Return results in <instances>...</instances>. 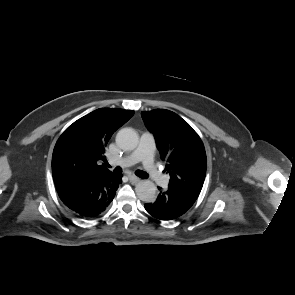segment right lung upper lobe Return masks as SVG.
<instances>
[{"label":"right lung upper lobe","instance_id":"obj_1","mask_svg":"<svg viewBox=\"0 0 295 295\" xmlns=\"http://www.w3.org/2000/svg\"><path fill=\"white\" fill-rule=\"evenodd\" d=\"M134 111L100 108L78 119L58 139L52 156L55 185H76L92 181L110 171L105 148L112 134L126 123Z\"/></svg>","mask_w":295,"mask_h":295}]
</instances>
